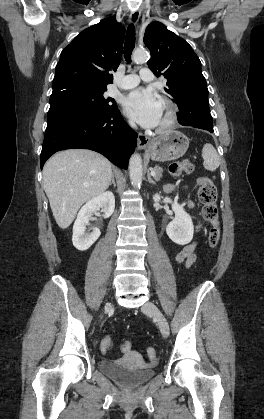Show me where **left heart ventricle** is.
Instances as JSON below:
<instances>
[{
    "label": "left heart ventricle",
    "mask_w": 264,
    "mask_h": 419,
    "mask_svg": "<svg viewBox=\"0 0 264 419\" xmlns=\"http://www.w3.org/2000/svg\"><path fill=\"white\" fill-rule=\"evenodd\" d=\"M163 118H164V109H163V107L161 105V119H160V123L162 122Z\"/></svg>",
    "instance_id": "left-heart-ventricle-1"
}]
</instances>
